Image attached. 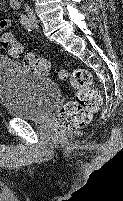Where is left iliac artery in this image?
Returning a JSON list of instances; mask_svg holds the SVG:
<instances>
[{"instance_id": "44dca946", "label": "left iliac artery", "mask_w": 123, "mask_h": 201, "mask_svg": "<svg viewBox=\"0 0 123 201\" xmlns=\"http://www.w3.org/2000/svg\"><path fill=\"white\" fill-rule=\"evenodd\" d=\"M20 22L26 29H28L30 31V29H31L30 22H29V19L25 15L21 14Z\"/></svg>"}]
</instances>
